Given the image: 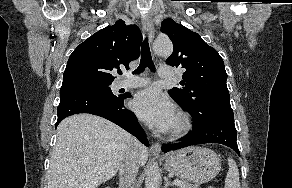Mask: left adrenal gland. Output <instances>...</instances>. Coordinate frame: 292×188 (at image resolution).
<instances>
[{"mask_svg": "<svg viewBox=\"0 0 292 188\" xmlns=\"http://www.w3.org/2000/svg\"><path fill=\"white\" fill-rule=\"evenodd\" d=\"M164 181H165V184H164V188H168V186H173V184L170 182V180L168 179V177H164Z\"/></svg>", "mask_w": 292, "mask_h": 188, "instance_id": "a2214340", "label": "left adrenal gland"}]
</instances>
